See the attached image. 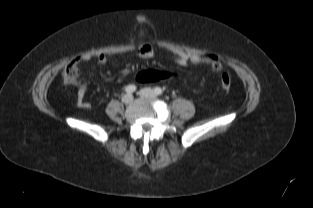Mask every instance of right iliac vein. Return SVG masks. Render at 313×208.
Listing matches in <instances>:
<instances>
[{"mask_svg": "<svg viewBox=\"0 0 313 208\" xmlns=\"http://www.w3.org/2000/svg\"><path fill=\"white\" fill-rule=\"evenodd\" d=\"M121 101L124 103V104H130L132 101H133V96L131 94H125Z\"/></svg>", "mask_w": 313, "mask_h": 208, "instance_id": "1", "label": "right iliac vein"}]
</instances>
